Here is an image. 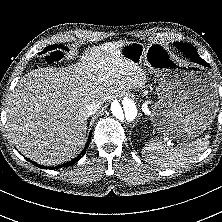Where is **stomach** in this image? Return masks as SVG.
<instances>
[{"mask_svg": "<svg viewBox=\"0 0 222 222\" xmlns=\"http://www.w3.org/2000/svg\"><path fill=\"white\" fill-rule=\"evenodd\" d=\"M118 50L123 58L144 64L155 75L158 101L152 105L150 120L164 139L190 140L209 127L218 109L217 86L210 72L180 64L159 42L126 41Z\"/></svg>", "mask_w": 222, "mask_h": 222, "instance_id": "0dacf381", "label": "stomach"}]
</instances>
